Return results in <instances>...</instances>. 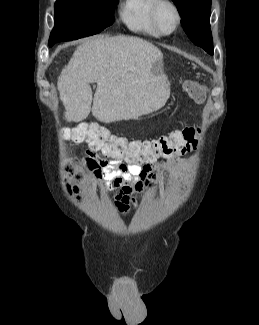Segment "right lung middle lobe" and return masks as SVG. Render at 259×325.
<instances>
[{
    "instance_id": "obj_1",
    "label": "right lung middle lobe",
    "mask_w": 259,
    "mask_h": 325,
    "mask_svg": "<svg viewBox=\"0 0 259 325\" xmlns=\"http://www.w3.org/2000/svg\"><path fill=\"white\" fill-rule=\"evenodd\" d=\"M119 0H57L49 46L99 33L114 21Z\"/></svg>"
}]
</instances>
